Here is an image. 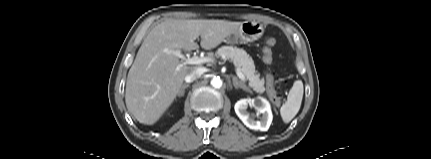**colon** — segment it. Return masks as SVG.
<instances>
[{"mask_svg": "<svg viewBox=\"0 0 431 159\" xmlns=\"http://www.w3.org/2000/svg\"><path fill=\"white\" fill-rule=\"evenodd\" d=\"M275 43H276V40L273 37H269L266 39V46L264 48V60L267 63H270L272 61V54H271L270 47L275 45ZM266 82H267V87L272 93L274 100H278L279 96L275 90V85H276L275 76L272 73H268L266 76Z\"/></svg>", "mask_w": 431, "mask_h": 159, "instance_id": "obj_1", "label": "colon"}]
</instances>
